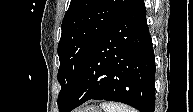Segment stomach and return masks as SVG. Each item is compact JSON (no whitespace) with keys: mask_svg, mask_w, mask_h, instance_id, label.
<instances>
[{"mask_svg":"<svg viewBox=\"0 0 193 112\" xmlns=\"http://www.w3.org/2000/svg\"><path fill=\"white\" fill-rule=\"evenodd\" d=\"M82 112H99V109L95 106H89L82 110Z\"/></svg>","mask_w":193,"mask_h":112,"instance_id":"0dacf381","label":"stomach"}]
</instances>
